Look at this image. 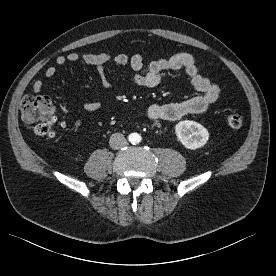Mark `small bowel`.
Instances as JSON below:
<instances>
[{"mask_svg": "<svg viewBox=\"0 0 276 276\" xmlns=\"http://www.w3.org/2000/svg\"><path fill=\"white\" fill-rule=\"evenodd\" d=\"M83 61L94 65L97 68L98 75L105 89H111L110 80L106 74V65L114 64L118 66H130L135 74L132 81L135 85L144 88H153L160 84L162 73L165 71H183L190 79L193 87L200 93L188 100L158 105L153 104L147 108V117L151 120H177L188 114H198L205 112L220 95L218 85L210 81L201 74L200 67L192 55L184 52L176 53L171 56L160 57L150 64H145L141 55L128 56L120 53L114 56L102 52L99 54L85 53L80 55L76 52H70L66 55H60L55 59L57 66H63L66 63H76ZM45 76L51 78L56 75L57 67L50 65L45 69ZM35 93L43 89V80L37 79L32 85ZM102 106L100 101H88L83 104V108L88 111L97 110Z\"/></svg>", "mask_w": 276, "mask_h": 276, "instance_id": "small-bowel-1", "label": "small bowel"}]
</instances>
